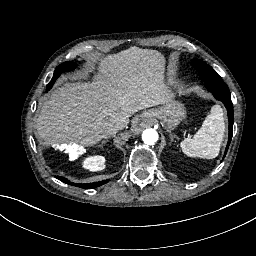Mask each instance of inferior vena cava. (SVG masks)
<instances>
[{"label": "inferior vena cava", "mask_w": 256, "mask_h": 256, "mask_svg": "<svg viewBox=\"0 0 256 256\" xmlns=\"http://www.w3.org/2000/svg\"><path fill=\"white\" fill-rule=\"evenodd\" d=\"M123 127H124V126H115V127L111 128V129L109 130V133H108L107 135H104L103 138H107V137H109V136H111V135L116 134V132H117L118 130L123 129Z\"/></svg>", "instance_id": "obj_1"}]
</instances>
